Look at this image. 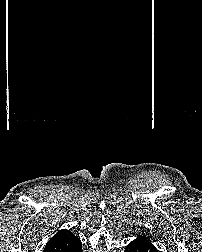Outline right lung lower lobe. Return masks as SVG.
I'll use <instances>...</instances> for the list:
<instances>
[{
  "instance_id": "1",
  "label": "right lung lower lobe",
  "mask_w": 202,
  "mask_h": 252,
  "mask_svg": "<svg viewBox=\"0 0 202 252\" xmlns=\"http://www.w3.org/2000/svg\"><path fill=\"white\" fill-rule=\"evenodd\" d=\"M73 252H83L82 250V243L80 242L75 249L73 250Z\"/></svg>"
}]
</instances>
